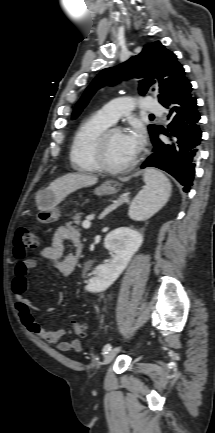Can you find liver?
<instances>
[{
    "label": "liver",
    "instance_id": "liver-1",
    "mask_svg": "<svg viewBox=\"0 0 215 433\" xmlns=\"http://www.w3.org/2000/svg\"><path fill=\"white\" fill-rule=\"evenodd\" d=\"M98 178L80 173H69L54 180L48 187L56 196L58 203L70 193L96 184Z\"/></svg>",
    "mask_w": 215,
    "mask_h": 433
}]
</instances>
